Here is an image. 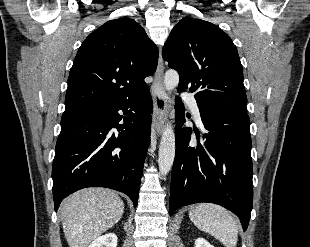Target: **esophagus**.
Instances as JSON below:
<instances>
[{
  "label": "esophagus",
  "mask_w": 310,
  "mask_h": 247,
  "mask_svg": "<svg viewBox=\"0 0 310 247\" xmlns=\"http://www.w3.org/2000/svg\"><path fill=\"white\" fill-rule=\"evenodd\" d=\"M163 76H164V64L160 49L157 70L155 73L154 87L152 92V98L154 104V131L157 136H159L162 133L167 113V102L164 95Z\"/></svg>",
  "instance_id": "34e87169"
}]
</instances>
